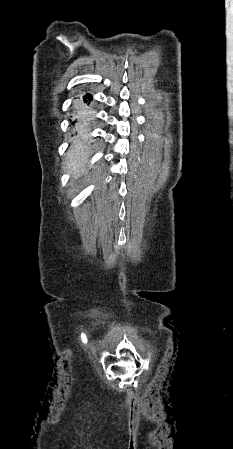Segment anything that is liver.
Returning a JSON list of instances; mask_svg holds the SVG:
<instances>
[{
    "mask_svg": "<svg viewBox=\"0 0 233 449\" xmlns=\"http://www.w3.org/2000/svg\"><path fill=\"white\" fill-rule=\"evenodd\" d=\"M89 152L83 141L77 140L67 153L64 169L72 172L74 178L80 177L86 170Z\"/></svg>",
    "mask_w": 233,
    "mask_h": 449,
    "instance_id": "obj_1",
    "label": "liver"
}]
</instances>
